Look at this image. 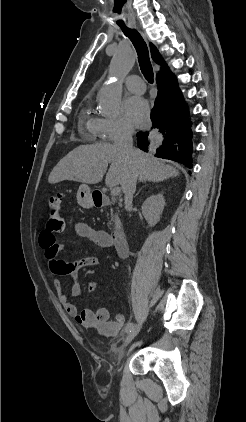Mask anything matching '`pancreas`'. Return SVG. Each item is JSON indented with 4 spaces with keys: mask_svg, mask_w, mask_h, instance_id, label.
Returning <instances> with one entry per match:
<instances>
[{
    "mask_svg": "<svg viewBox=\"0 0 246 422\" xmlns=\"http://www.w3.org/2000/svg\"><path fill=\"white\" fill-rule=\"evenodd\" d=\"M111 221H114L117 224L119 223L118 214L117 213L113 214L112 211H111ZM109 225H111V222L109 223Z\"/></svg>",
    "mask_w": 246,
    "mask_h": 422,
    "instance_id": "obj_1",
    "label": "pancreas"
}]
</instances>
